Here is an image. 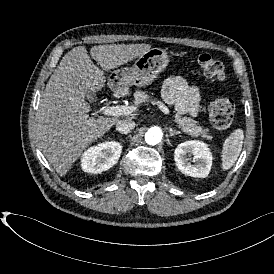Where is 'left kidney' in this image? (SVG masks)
Masks as SVG:
<instances>
[{"instance_id":"1","label":"left kidney","mask_w":274,"mask_h":274,"mask_svg":"<svg viewBox=\"0 0 274 274\" xmlns=\"http://www.w3.org/2000/svg\"><path fill=\"white\" fill-rule=\"evenodd\" d=\"M187 154L193 155L192 164ZM177 168L185 175L197 178L208 176L212 166V154L208 144L199 140L180 143L174 151Z\"/></svg>"}]
</instances>
